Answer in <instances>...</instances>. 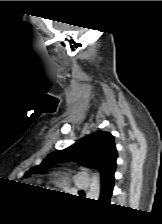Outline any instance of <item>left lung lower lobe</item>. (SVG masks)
<instances>
[{
  "label": "left lung lower lobe",
  "mask_w": 162,
  "mask_h": 224,
  "mask_svg": "<svg viewBox=\"0 0 162 224\" xmlns=\"http://www.w3.org/2000/svg\"><path fill=\"white\" fill-rule=\"evenodd\" d=\"M114 173L115 171L101 182L100 201L106 204L110 202V198L112 195L114 187Z\"/></svg>",
  "instance_id": "obj_1"
}]
</instances>
